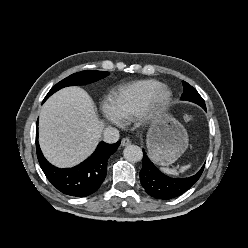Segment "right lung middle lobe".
Segmentation results:
<instances>
[{"mask_svg":"<svg viewBox=\"0 0 248 248\" xmlns=\"http://www.w3.org/2000/svg\"><path fill=\"white\" fill-rule=\"evenodd\" d=\"M108 74L109 73L106 71H96V70H86V71L74 73L68 76L67 78L63 79L59 83H57L55 86H53L46 95L44 100H46L54 92L58 91L63 87L92 83L108 76Z\"/></svg>","mask_w":248,"mask_h":248,"instance_id":"1","label":"right lung middle lobe"}]
</instances>
